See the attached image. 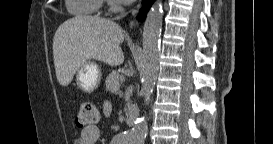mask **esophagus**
Instances as JSON below:
<instances>
[{"mask_svg": "<svg viewBox=\"0 0 273 144\" xmlns=\"http://www.w3.org/2000/svg\"><path fill=\"white\" fill-rule=\"evenodd\" d=\"M138 9H139V7L134 11V13H133L134 17L136 16ZM135 25H136V21L133 19L132 22L130 23V31L133 30Z\"/></svg>", "mask_w": 273, "mask_h": 144, "instance_id": "1", "label": "esophagus"}]
</instances>
